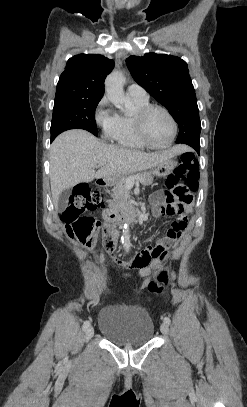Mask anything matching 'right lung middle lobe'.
I'll return each instance as SVG.
<instances>
[{"label":"right lung middle lobe","instance_id":"obj_1","mask_svg":"<svg viewBox=\"0 0 247 407\" xmlns=\"http://www.w3.org/2000/svg\"><path fill=\"white\" fill-rule=\"evenodd\" d=\"M100 99H55L51 122V139L69 129H85L97 136L95 109Z\"/></svg>","mask_w":247,"mask_h":407}]
</instances>
